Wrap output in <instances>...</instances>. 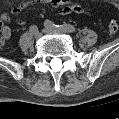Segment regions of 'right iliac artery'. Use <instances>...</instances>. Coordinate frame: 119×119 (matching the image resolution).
<instances>
[{
	"label": "right iliac artery",
	"mask_w": 119,
	"mask_h": 119,
	"mask_svg": "<svg viewBox=\"0 0 119 119\" xmlns=\"http://www.w3.org/2000/svg\"><path fill=\"white\" fill-rule=\"evenodd\" d=\"M29 30H30V32H31L32 34H34L35 32L38 31V28H37V26L32 25Z\"/></svg>",
	"instance_id": "1"
}]
</instances>
